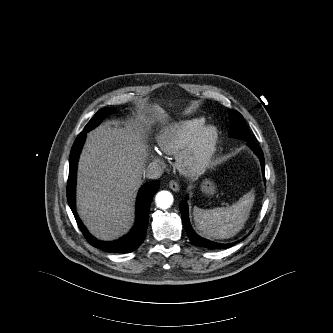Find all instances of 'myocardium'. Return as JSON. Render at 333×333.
I'll list each match as a JSON object with an SVG mask.
<instances>
[{"label":"myocardium","mask_w":333,"mask_h":333,"mask_svg":"<svg viewBox=\"0 0 333 333\" xmlns=\"http://www.w3.org/2000/svg\"><path fill=\"white\" fill-rule=\"evenodd\" d=\"M219 141V131L214 125H204L192 141L178 154L177 167L186 175L203 171L211 162Z\"/></svg>","instance_id":"f54148a6"}]
</instances>
